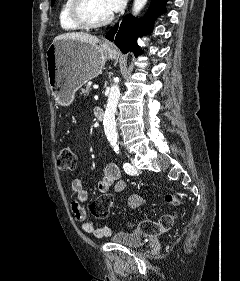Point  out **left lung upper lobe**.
<instances>
[{
	"instance_id": "left-lung-upper-lobe-1",
	"label": "left lung upper lobe",
	"mask_w": 240,
	"mask_h": 281,
	"mask_svg": "<svg viewBox=\"0 0 240 281\" xmlns=\"http://www.w3.org/2000/svg\"><path fill=\"white\" fill-rule=\"evenodd\" d=\"M54 2H55V0H51V5H53V4H54Z\"/></svg>"
}]
</instances>
